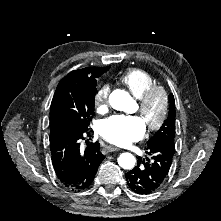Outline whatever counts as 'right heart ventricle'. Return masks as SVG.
<instances>
[{
  "label": "right heart ventricle",
  "instance_id": "obj_1",
  "mask_svg": "<svg viewBox=\"0 0 221 221\" xmlns=\"http://www.w3.org/2000/svg\"><path fill=\"white\" fill-rule=\"evenodd\" d=\"M117 81L125 86L137 99H140L156 83L154 77L148 71L141 68L126 70L117 78Z\"/></svg>",
  "mask_w": 221,
  "mask_h": 221
}]
</instances>
